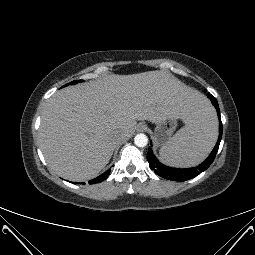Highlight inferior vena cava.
Here are the masks:
<instances>
[{
    "label": "inferior vena cava",
    "mask_w": 255,
    "mask_h": 255,
    "mask_svg": "<svg viewBox=\"0 0 255 255\" xmlns=\"http://www.w3.org/2000/svg\"><path fill=\"white\" fill-rule=\"evenodd\" d=\"M114 138H115L117 141H119V140H122L123 135H122L120 132H116V133L114 134Z\"/></svg>",
    "instance_id": "1"
}]
</instances>
